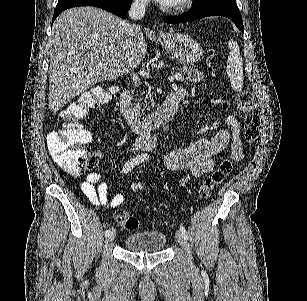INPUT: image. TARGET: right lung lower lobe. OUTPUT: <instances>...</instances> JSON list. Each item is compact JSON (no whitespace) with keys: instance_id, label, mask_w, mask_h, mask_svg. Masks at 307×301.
<instances>
[{"instance_id":"1","label":"right lung lower lobe","mask_w":307,"mask_h":301,"mask_svg":"<svg viewBox=\"0 0 307 301\" xmlns=\"http://www.w3.org/2000/svg\"><path fill=\"white\" fill-rule=\"evenodd\" d=\"M131 0H58L54 11L53 22L64 10L78 6H96L121 18H126Z\"/></svg>"}]
</instances>
